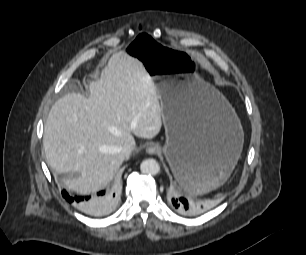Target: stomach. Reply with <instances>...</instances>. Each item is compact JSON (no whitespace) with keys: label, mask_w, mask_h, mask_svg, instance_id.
I'll return each mask as SVG.
<instances>
[{"label":"stomach","mask_w":306,"mask_h":255,"mask_svg":"<svg viewBox=\"0 0 306 255\" xmlns=\"http://www.w3.org/2000/svg\"><path fill=\"white\" fill-rule=\"evenodd\" d=\"M125 52L137 58L155 82L166 133L162 151L180 185L203 193L224 184L244 142L231 105L199 77L191 54L168 46L163 35L142 32ZM188 169L192 180L183 184Z\"/></svg>","instance_id":"1"}]
</instances>
